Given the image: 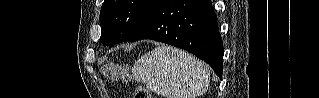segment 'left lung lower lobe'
<instances>
[{"instance_id": "obj_1", "label": "left lung lower lobe", "mask_w": 319, "mask_h": 98, "mask_svg": "<svg viewBox=\"0 0 319 98\" xmlns=\"http://www.w3.org/2000/svg\"><path fill=\"white\" fill-rule=\"evenodd\" d=\"M152 39L185 49L207 62L221 78L223 43L209 0H158L127 40Z\"/></svg>"}]
</instances>
